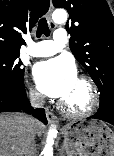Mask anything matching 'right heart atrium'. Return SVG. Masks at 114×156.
Instances as JSON below:
<instances>
[{"mask_svg": "<svg viewBox=\"0 0 114 156\" xmlns=\"http://www.w3.org/2000/svg\"><path fill=\"white\" fill-rule=\"evenodd\" d=\"M29 97L32 102L37 104L41 103L43 100L42 94L32 86L29 87Z\"/></svg>", "mask_w": 114, "mask_h": 156, "instance_id": "1", "label": "right heart atrium"}]
</instances>
